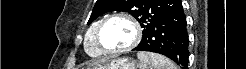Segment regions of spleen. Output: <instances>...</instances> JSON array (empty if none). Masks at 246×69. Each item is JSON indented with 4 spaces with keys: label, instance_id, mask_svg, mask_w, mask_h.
I'll list each match as a JSON object with an SVG mask.
<instances>
[{
    "label": "spleen",
    "instance_id": "1",
    "mask_svg": "<svg viewBox=\"0 0 246 69\" xmlns=\"http://www.w3.org/2000/svg\"><path fill=\"white\" fill-rule=\"evenodd\" d=\"M142 69H178L177 65L167 57L152 52H138Z\"/></svg>",
    "mask_w": 246,
    "mask_h": 69
}]
</instances>
